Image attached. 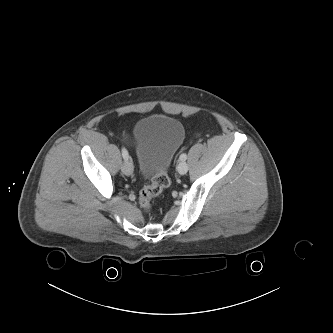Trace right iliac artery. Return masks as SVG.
I'll list each match as a JSON object with an SVG mask.
<instances>
[{"instance_id": "1", "label": "right iliac artery", "mask_w": 333, "mask_h": 333, "mask_svg": "<svg viewBox=\"0 0 333 333\" xmlns=\"http://www.w3.org/2000/svg\"><path fill=\"white\" fill-rule=\"evenodd\" d=\"M122 156H123L124 160H128V158H129L128 151L125 148H122Z\"/></svg>"}]
</instances>
